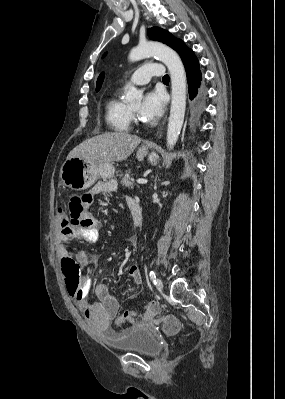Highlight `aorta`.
<instances>
[{
  "mask_svg": "<svg viewBox=\"0 0 285 399\" xmlns=\"http://www.w3.org/2000/svg\"><path fill=\"white\" fill-rule=\"evenodd\" d=\"M150 56L158 57L168 68L172 84V101L167 128V147L173 149L182 129L186 107V74L179 55L170 47L159 42L140 43L129 54L131 62L139 61ZM142 92L129 85L124 96L128 104H137L142 100Z\"/></svg>",
  "mask_w": 285,
  "mask_h": 399,
  "instance_id": "obj_1",
  "label": "aorta"
}]
</instances>
